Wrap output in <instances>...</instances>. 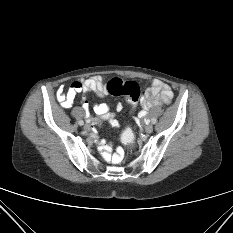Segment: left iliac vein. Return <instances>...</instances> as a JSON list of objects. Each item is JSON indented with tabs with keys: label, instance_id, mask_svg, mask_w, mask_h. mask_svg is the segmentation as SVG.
Returning a JSON list of instances; mask_svg holds the SVG:
<instances>
[{
	"label": "left iliac vein",
	"instance_id": "obj_1",
	"mask_svg": "<svg viewBox=\"0 0 233 233\" xmlns=\"http://www.w3.org/2000/svg\"><path fill=\"white\" fill-rule=\"evenodd\" d=\"M153 131V126L151 124H148L145 126V132L146 133H151Z\"/></svg>",
	"mask_w": 233,
	"mask_h": 233
}]
</instances>
